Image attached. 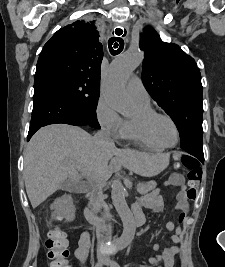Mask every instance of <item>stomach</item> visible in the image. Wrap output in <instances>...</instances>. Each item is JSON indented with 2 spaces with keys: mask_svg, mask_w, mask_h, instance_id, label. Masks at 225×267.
Here are the masks:
<instances>
[{
  "mask_svg": "<svg viewBox=\"0 0 225 267\" xmlns=\"http://www.w3.org/2000/svg\"><path fill=\"white\" fill-rule=\"evenodd\" d=\"M168 162V156L164 154L149 156L143 164L146 176L157 175L167 167Z\"/></svg>",
  "mask_w": 225,
  "mask_h": 267,
  "instance_id": "obj_1",
  "label": "stomach"
}]
</instances>
